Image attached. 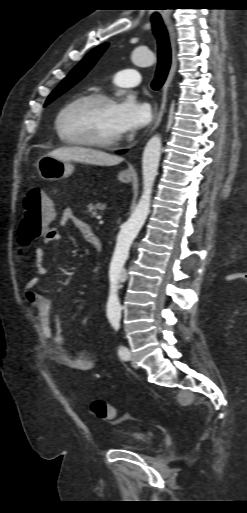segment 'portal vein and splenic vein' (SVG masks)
<instances>
[{
  "mask_svg": "<svg viewBox=\"0 0 247 513\" xmlns=\"http://www.w3.org/2000/svg\"><path fill=\"white\" fill-rule=\"evenodd\" d=\"M97 219H99V224H103V223H104V221H103V220H101V217H100V216H98V217H97Z\"/></svg>",
  "mask_w": 247,
  "mask_h": 513,
  "instance_id": "18ae733b",
  "label": "portal vein and splenic vein"
}]
</instances>
